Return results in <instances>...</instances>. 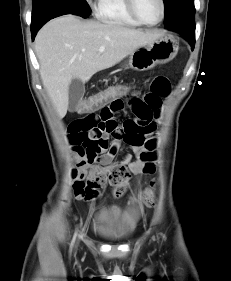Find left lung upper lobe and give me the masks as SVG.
I'll return each mask as SVG.
<instances>
[{
	"mask_svg": "<svg viewBox=\"0 0 231 281\" xmlns=\"http://www.w3.org/2000/svg\"><path fill=\"white\" fill-rule=\"evenodd\" d=\"M165 7L164 24L166 28L172 21L185 15H194V0H163Z\"/></svg>",
	"mask_w": 231,
	"mask_h": 281,
	"instance_id": "left-lung-upper-lobe-1",
	"label": "left lung upper lobe"
}]
</instances>
